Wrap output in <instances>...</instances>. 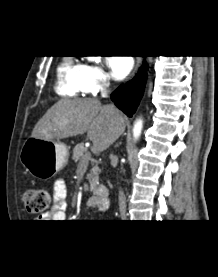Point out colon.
Here are the masks:
<instances>
[{"instance_id": "colon-1", "label": "colon", "mask_w": 218, "mask_h": 277, "mask_svg": "<svg viewBox=\"0 0 218 277\" xmlns=\"http://www.w3.org/2000/svg\"><path fill=\"white\" fill-rule=\"evenodd\" d=\"M23 204L30 214H41L50 204V193L44 188H29L23 193Z\"/></svg>"}]
</instances>
